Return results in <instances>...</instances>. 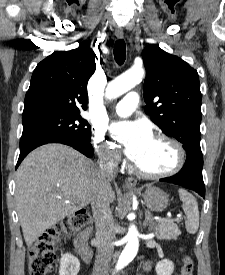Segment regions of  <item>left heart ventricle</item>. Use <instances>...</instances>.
Wrapping results in <instances>:
<instances>
[{
    "label": "left heart ventricle",
    "instance_id": "1",
    "mask_svg": "<svg viewBox=\"0 0 225 275\" xmlns=\"http://www.w3.org/2000/svg\"><path fill=\"white\" fill-rule=\"evenodd\" d=\"M174 161L173 148L163 140L152 138L135 163L145 172L156 173L168 170Z\"/></svg>",
    "mask_w": 225,
    "mask_h": 275
}]
</instances>
